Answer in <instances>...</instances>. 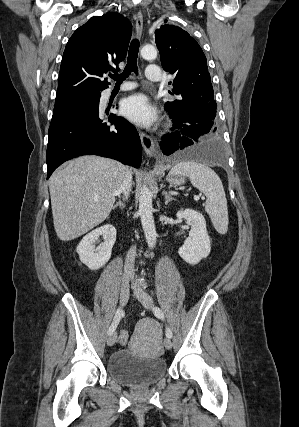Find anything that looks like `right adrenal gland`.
<instances>
[{
  "label": "right adrenal gland",
  "instance_id": "2a0ac1e0",
  "mask_svg": "<svg viewBox=\"0 0 299 427\" xmlns=\"http://www.w3.org/2000/svg\"><path fill=\"white\" fill-rule=\"evenodd\" d=\"M125 201H126V198H123V200L119 199V201L116 202V204L112 207V209L119 207L121 210H123L125 208Z\"/></svg>",
  "mask_w": 299,
  "mask_h": 427
}]
</instances>
